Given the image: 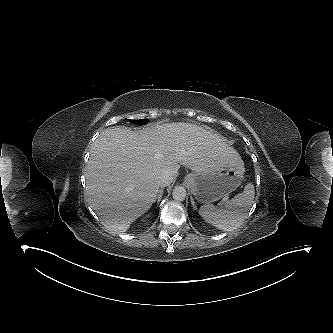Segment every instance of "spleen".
<instances>
[{
	"label": "spleen",
	"mask_w": 333,
	"mask_h": 333,
	"mask_svg": "<svg viewBox=\"0 0 333 333\" xmlns=\"http://www.w3.org/2000/svg\"><path fill=\"white\" fill-rule=\"evenodd\" d=\"M254 186L249 183L242 193L234 196L224 208L213 204L202 205L200 216L209 224L223 231H232L240 227L246 219L254 200Z\"/></svg>",
	"instance_id": "1"
}]
</instances>
